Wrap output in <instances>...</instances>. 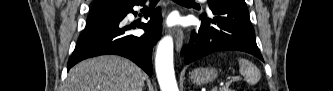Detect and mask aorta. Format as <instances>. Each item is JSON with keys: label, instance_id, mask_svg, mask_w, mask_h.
<instances>
[{"label": "aorta", "instance_id": "762f6f07", "mask_svg": "<svg viewBox=\"0 0 333 91\" xmlns=\"http://www.w3.org/2000/svg\"><path fill=\"white\" fill-rule=\"evenodd\" d=\"M155 67L161 91H178L173 66V39L164 37L158 45Z\"/></svg>", "mask_w": 333, "mask_h": 91}]
</instances>
